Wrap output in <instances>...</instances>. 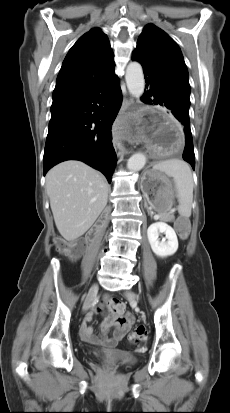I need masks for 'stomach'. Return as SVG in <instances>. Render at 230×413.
Masks as SVG:
<instances>
[{"mask_svg": "<svg viewBox=\"0 0 230 413\" xmlns=\"http://www.w3.org/2000/svg\"><path fill=\"white\" fill-rule=\"evenodd\" d=\"M141 190L151 209L164 216L175 199V188L162 172L148 170L141 179Z\"/></svg>", "mask_w": 230, "mask_h": 413, "instance_id": "1", "label": "stomach"}]
</instances>
